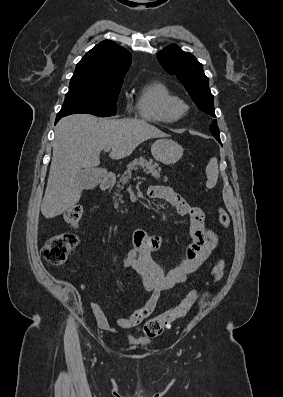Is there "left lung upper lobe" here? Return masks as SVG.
<instances>
[{"label":"left lung upper lobe","instance_id":"obj_1","mask_svg":"<svg viewBox=\"0 0 283 397\" xmlns=\"http://www.w3.org/2000/svg\"><path fill=\"white\" fill-rule=\"evenodd\" d=\"M157 59L169 74L177 76L200 110L216 117L209 79L204 74L203 65L191 53L183 52L171 44L157 53ZM209 129L214 137H220L216 120H213Z\"/></svg>","mask_w":283,"mask_h":397}]
</instances>
